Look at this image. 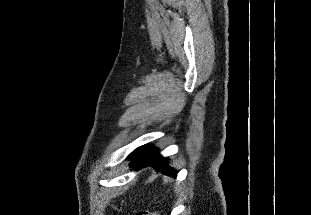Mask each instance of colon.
I'll return each instance as SVG.
<instances>
[{"instance_id": "1", "label": "colon", "mask_w": 311, "mask_h": 215, "mask_svg": "<svg viewBox=\"0 0 311 215\" xmlns=\"http://www.w3.org/2000/svg\"><path fill=\"white\" fill-rule=\"evenodd\" d=\"M137 215H159V214L156 212L141 211V212L137 213Z\"/></svg>"}]
</instances>
